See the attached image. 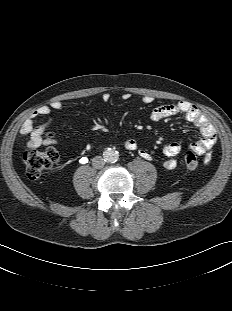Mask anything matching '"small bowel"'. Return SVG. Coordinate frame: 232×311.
I'll list each match as a JSON object with an SVG mask.
<instances>
[{
    "label": "small bowel",
    "mask_w": 232,
    "mask_h": 311,
    "mask_svg": "<svg viewBox=\"0 0 232 311\" xmlns=\"http://www.w3.org/2000/svg\"><path fill=\"white\" fill-rule=\"evenodd\" d=\"M122 98L128 100L130 95L125 93L122 95ZM102 99L103 101H108L110 95L104 93ZM142 101L149 104L153 101V97L145 95L142 98ZM62 108L63 102L59 99H54L49 104L39 107L37 111L33 112L24 120L21 126V134L28 137V147L38 148L40 146L52 147L60 145V142L57 139L44 137V132L46 127L56 119L54 116H51L52 112L60 111ZM177 115H183L188 122L192 123L199 130L201 138L193 143L190 148L197 154L202 155L205 162L209 163L211 160V149L217 141V132L212 123L197 107L184 102L161 105L151 111L150 119L153 121H159ZM39 116L47 117V119L42 125L35 126V119ZM124 146L128 150H139L140 156L145 160H151L152 158L150 153L139 149V144L135 139H126L124 141ZM180 151L181 146L178 143H170L166 145L163 149L165 159L162 160V166L167 170H173L177 165L175 157Z\"/></svg>",
    "instance_id": "1"
}]
</instances>
